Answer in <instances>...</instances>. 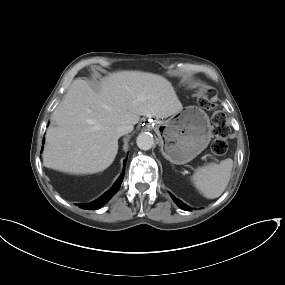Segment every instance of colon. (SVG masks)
<instances>
[{"label": "colon", "mask_w": 285, "mask_h": 285, "mask_svg": "<svg viewBox=\"0 0 285 285\" xmlns=\"http://www.w3.org/2000/svg\"><path fill=\"white\" fill-rule=\"evenodd\" d=\"M208 93L209 91H206L205 94L199 98L198 103L203 109L213 111L211 121L214 126L216 138L212 142L211 148L214 153L223 154L227 149L225 116L217 109V105L211 102Z\"/></svg>", "instance_id": "5ec220e1"}]
</instances>
